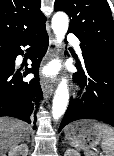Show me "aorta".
<instances>
[{"label":"aorta","instance_id":"obj_1","mask_svg":"<svg viewBox=\"0 0 114 156\" xmlns=\"http://www.w3.org/2000/svg\"><path fill=\"white\" fill-rule=\"evenodd\" d=\"M69 26L68 16L64 12H57L52 18V29L58 43H62ZM69 100V89L67 80L63 78L55 92L52 104V116L59 119L66 111Z\"/></svg>","mask_w":114,"mask_h":156}]
</instances>
